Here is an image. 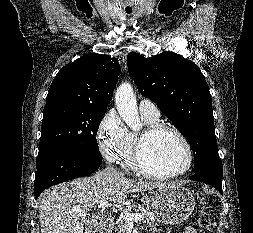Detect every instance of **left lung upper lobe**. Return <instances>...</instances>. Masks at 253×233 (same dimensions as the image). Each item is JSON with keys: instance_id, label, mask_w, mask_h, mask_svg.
<instances>
[{"instance_id": "obj_1", "label": "left lung upper lobe", "mask_w": 253, "mask_h": 233, "mask_svg": "<svg viewBox=\"0 0 253 233\" xmlns=\"http://www.w3.org/2000/svg\"><path fill=\"white\" fill-rule=\"evenodd\" d=\"M127 65L140 93L155 102L188 140L195 153L194 173H223L211 94L199 67L170 51L151 58L130 52Z\"/></svg>"}]
</instances>
